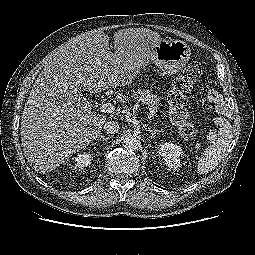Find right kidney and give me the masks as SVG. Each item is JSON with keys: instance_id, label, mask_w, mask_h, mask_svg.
Segmentation results:
<instances>
[{"instance_id": "1", "label": "right kidney", "mask_w": 255, "mask_h": 255, "mask_svg": "<svg viewBox=\"0 0 255 255\" xmlns=\"http://www.w3.org/2000/svg\"><path fill=\"white\" fill-rule=\"evenodd\" d=\"M91 160H92V157L88 153L84 152L82 154H78L74 158V162H73V165L71 166V169L82 170L84 167H87L88 165H90Z\"/></svg>"}]
</instances>
